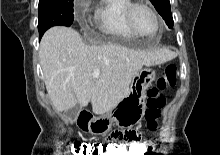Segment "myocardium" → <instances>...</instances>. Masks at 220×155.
<instances>
[{
	"label": "myocardium",
	"instance_id": "myocardium-1",
	"mask_svg": "<svg viewBox=\"0 0 220 155\" xmlns=\"http://www.w3.org/2000/svg\"><path fill=\"white\" fill-rule=\"evenodd\" d=\"M139 7L146 8L153 15V17L155 18L156 23H157V31L154 35H158L162 30L161 17L156 12V10L145 0L131 1V3L127 6L126 11H125V17H126L127 25L130 28V30L138 36L146 37V35L142 34L136 28L135 23H134V19H133L134 11Z\"/></svg>",
	"mask_w": 220,
	"mask_h": 155
}]
</instances>
